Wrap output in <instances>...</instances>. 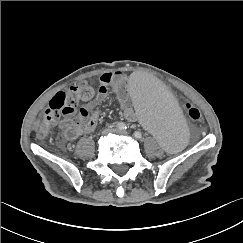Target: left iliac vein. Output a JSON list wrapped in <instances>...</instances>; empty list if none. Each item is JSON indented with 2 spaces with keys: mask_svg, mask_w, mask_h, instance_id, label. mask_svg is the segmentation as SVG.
<instances>
[{
  "mask_svg": "<svg viewBox=\"0 0 243 243\" xmlns=\"http://www.w3.org/2000/svg\"><path fill=\"white\" fill-rule=\"evenodd\" d=\"M113 132H116V133H119V134H122V135H127L126 131H122V130H119V129H115Z\"/></svg>",
  "mask_w": 243,
  "mask_h": 243,
  "instance_id": "obj_1",
  "label": "left iliac vein"
}]
</instances>
